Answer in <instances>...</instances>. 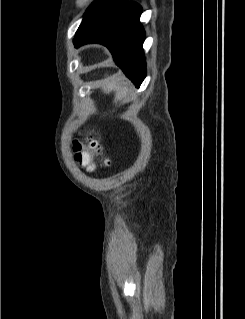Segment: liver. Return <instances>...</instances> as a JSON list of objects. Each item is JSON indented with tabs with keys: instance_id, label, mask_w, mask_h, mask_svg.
<instances>
[{
	"instance_id": "liver-1",
	"label": "liver",
	"mask_w": 245,
	"mask_h": 319,
	"mask_svg": "<svg viewBox=\"0 0 245 319\" xmlns=\"http://www.w3.org/2000/svg\"><path fill=\"white\" fill-rule=\"evenodd\" d=\"M102 91L106 94H109L110 92L115 93V99L114 102L120 101L127 92L126 87H122L119 83L110 80L109 78L106 80V83L102 86Z\"/></svg>"
}]
</instances>
